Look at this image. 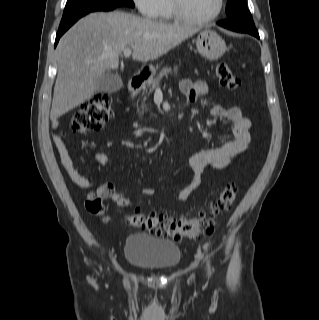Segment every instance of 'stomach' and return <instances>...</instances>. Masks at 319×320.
I'll return each instance as SVG.
<instances>
[{"instance_id": "0dacf381", "label": "stomach", "mask_w": 319, "mask_h": 320, "mask_svg": "<svg viewBox=\"0 0 319 320\" xmlns=\"http://www.w3.org/2000/svg\"><path fill=\"white\" fill-rule=\"evenodd\" d=\"M196 47L201 56L211 61L221 58L227 49L222 37L211 29L199 33Z\"/></svg>"}]
</instances>
